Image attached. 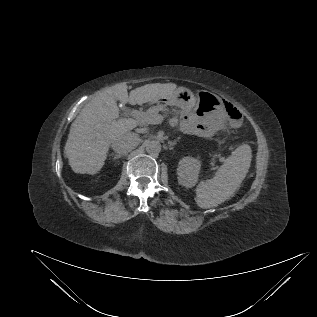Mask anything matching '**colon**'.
Segmentation results:
<instances>
[{
    "label": "colon",
    "mask_w": 317,
    "mask_h": 317,
    "mask_svg": "<svg viewBox=\"0 0 317 317\" xmlns=\"http://www.w3.org/2000/svg\"><path fill=\"white\" fill-rule=\"evenodd\" d=\"M224 111L229 117V119L235 124L238 125L241 121V114L240 112L232 105L229 103L224 104Z\"/></svg>",
    "instance_id": "obj_1"
}]
</instances>
